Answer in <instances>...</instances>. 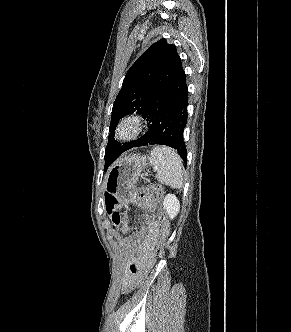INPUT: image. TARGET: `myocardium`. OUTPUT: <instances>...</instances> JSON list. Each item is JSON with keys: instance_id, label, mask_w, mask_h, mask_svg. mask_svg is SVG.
Segmentation results:
<instances>
[{"instance_id": "f54148a6", "label": "myocardium", "mask_w": 291, "mask_h": 332, "mask_svg": "<svg viewBox=\"0 0 291 332\" xmlns=\"http://www.w3.org/2000/svg\"><path fill=\"white\" fill-rule=\"evenodd\" d=\"M145 127L144 119L140 114L133 113L124 116L118 123L115 136L119 141L129 142L135 140L143 132ZM127 129L128 133L123 134V131Z\"/></svg>"}]
</instances>
